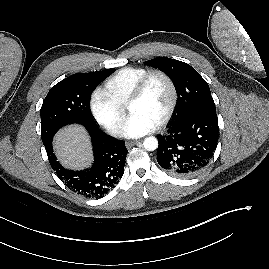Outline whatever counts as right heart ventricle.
Wrapping results in <instances>:
<instances>
[{"label":"right heart ventricle","mask_w":269,"mask_h":269,"mask_svg":"<svg viewBox=\"0 0 269 269\" xmlns=\"http://www.w3.org/2000/svg\"><path fill=\"white\" fill-rule=\"evenodd\" d=\"M143 67H125L113 74L104 84L105 92L121 107L127 103L138 81L147 73Z\"/></svg>","instance_id":"e07e8e85"}]
</instances>
